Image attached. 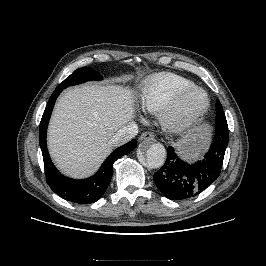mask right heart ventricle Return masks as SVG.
I'll return each mask as SVG.
<instances>
[{"instance_id":"1","label":"right heart ventricle","mask_w":266,"mask_h":266,"mask_svg":"<svg viewBox=\"0 0 266 266\" xmlns=\"http://www.w3.org/2000/svg\"><path fill=\"white\" fill-rule=\"evenodd\" d=\"M191 85L192 81L173 73L154 74L141 86L139 106L144 112L157 114L177 91Z\"/></svg>"}]
</instances>
